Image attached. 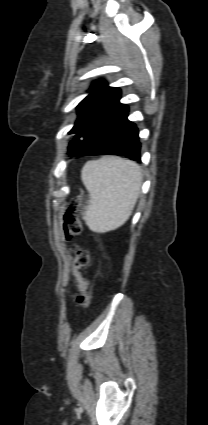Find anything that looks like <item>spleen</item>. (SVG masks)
<instances>
[{"label":"spleen","instance_id":"obj_1","mask_svg":"<svg viewBox=\"0 0 208 425\" xmlns=\"http://www.w3.org/2000/svg\"><path fill=\"white\" fill-rule=\"evenodd\" d=\"M81 179L90 196L83 218L92 231L115 230L129 219L142 185L137 163L106 155L86 162Z\"/></svg>","mask_w":208,"mask_h":425}]
</instances>
